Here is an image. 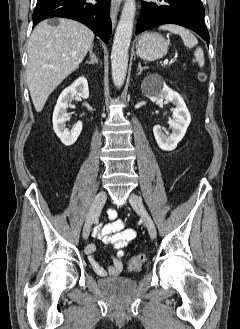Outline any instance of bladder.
Here are the masks:
<instances>
[{
  "label": "bladder",
  "instance_id": "bladder-1",
  "mask_svg": "<svg viewBox=\"0 0 240 329\" xmlns=\"http://www.w3.org/2000/svg\"><path fill=\"white\" fill-rule=\"evenodd\" d=\"M100 287L110 295L122 298L136 289V281L124 276H112L99 282Z\"/></svg>",
  "mask_w": 240,
  "mask_h": 329
}]
</instances>
